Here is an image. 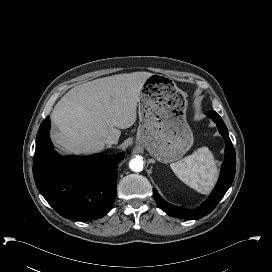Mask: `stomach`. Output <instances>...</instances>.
Returning a JSON list of instances; mask_svg holds the SVG:
<instances>
[{
	"instance_id": "1",
	"label": "stomach",
	"mask_w": 272,
	"mask_h": 272,
	"mask_svg": "<svg viewBox=\"0 0 272 272\" xmlns=\"http://www.w3.org/2000/svg\"><path fill=\"white\" fill-rule=\"evenodd\" d=\"M138 115L136 141L156 160L177 161L193 145L185 94L171 78L152 74L145 80L138 98Z\"/></svg>"
}]
</instances>
